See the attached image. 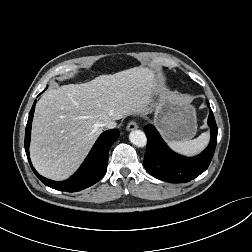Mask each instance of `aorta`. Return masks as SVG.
Instances as JSON below:
<instances>
[{"label":"aorta","mask_w":252,"mask_h":252,"mask_svg":"<svg viewBox=\"0 0 252 252\" xmlns=\"http://www.w3.org/2000/svg\"><path fill=\"white\" fill-rule=\"evenodd\" d=\"M129 140L132 144H134L137 147H144L147 143L146 135L141 130H133L129 134Z\"/></svg>","instance_id":"aorta-1"}]
</instances>
